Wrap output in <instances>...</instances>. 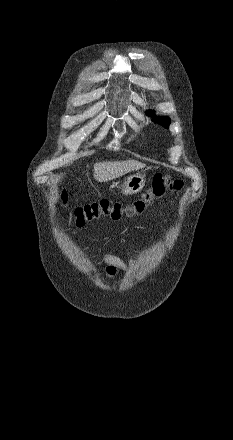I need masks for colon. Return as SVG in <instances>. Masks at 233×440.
Masks as SVG:
<instances>
[{
	"label": "colon",
	"mask_w": 233,
	"mask_h": 440,
	"mask_svg": "<svg viewBox=\"0 0 233 440\" xmlns=\"http://www.w3.org/2000/svg\"><path fill=\"white\" fill-rule=\"evenodd\" d=\"M183 185L181 179L173 178L170 175L158 172L154 174L152 178L151 187L132 205L123 206L120 203H112L104 199L98 202L75 207L72 211L70 220L73 225L82 227L102 216H108L114 220H118L124 215H140L155 199L162 197L165 192H178L183 188ZM60 199L63 204H66L67 194L64 189H61L60 191Z\"/></svg>",
	"instance_id": "1"
}]
</instances>
